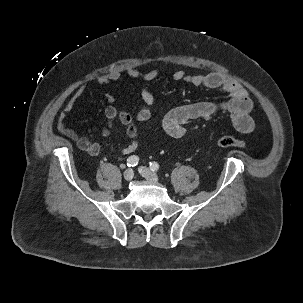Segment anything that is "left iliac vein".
<instances>
[{
    "label": "left iliac vein",
    "mask_w": 303,
    "mask_h": 303,
    "mask_svg": "<svg viewBox=\"0 0 303 303\" xmlns=\"http://www.w3.org/2000/svg\"><path fill=\"white\" fill-rule=\"evenodd\" d=\"M138 170H139V173L147 180L154 182V183L158 182L159 178H158L157 174L154 173L153 171H151L149 168L140 167Z\"/></svg>",
    "instance_id": "obj_1"
}]
</instances>
